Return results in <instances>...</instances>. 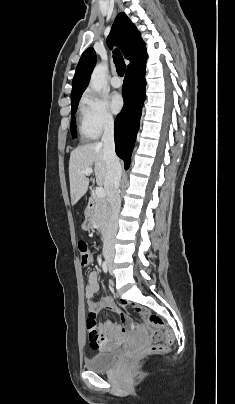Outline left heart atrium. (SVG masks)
I'll use <instances>...</instances> for the list:
<instances>
[{"instance_id": "obj_1", "label": "left heart atrium", "mask_w": 235, "mask_h": 404, "mask_svg": "<svg viewBox=\"0 0 235 404\" xmlns=\"http://www.w3.org/2000/svg\"><path fill=\"white\" fill-rule=\"evenodd\" d=\"M110 108L114 113H118L121 111L124 105L123 98L120 94L114 93L110 96L109 99Z\"/></svg>"}]
</instances>
